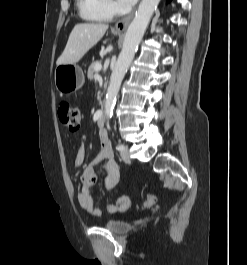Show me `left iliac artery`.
<instances>
[{
	"mask_svg": "<svg viewBox=\"0 0 247 265\" xmlns=\"http://www.w3.org/2000/svg\"><path fill=\"white\" fill-rule=\"evenodd\" d=\"M116 149H117L118 151H121V150L124 149V145L119 143V144L116 146Z\"/></svg>",
	"mask_w": 247,
	"mask_h": 265,
	"instance_id": "obj_1",
	"label": "left iliac artery"
}]
</instances>
